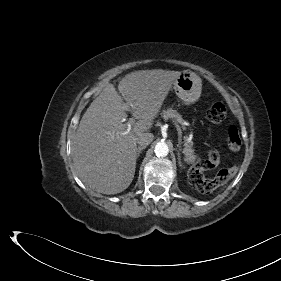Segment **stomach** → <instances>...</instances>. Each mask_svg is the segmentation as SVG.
<instances>
[{
	"instance_id": "1",
	"label": "stomach",
	"mask_w": 281,
	"mask_h": 281,
	"mask_svg": "<svg viewBox=\"0 0 281 281\" xmlns=\"http://www.w3.org/2000/svg\"><path fill=\"white\" fill-rule=\"evenodd\" d=\"M176 95L185 103L195 102L201 95V78L190 70L181 72L180 76L174 82Z\"/></svg>"
}]
</instances>
